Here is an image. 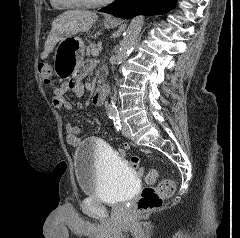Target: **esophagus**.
I'll use <instances>...</instances> for the list:
<instances>
[{
    "label": "esophagus",
    "mask_w": 240,
    "mask_h": 238,
    "mask_svg": "<svg viewBox=\"0 0 240 238\" xmlns=\"http://www.w3.org/2000/svg\"><path fill=\"white\" fill-rule=\"evenodd\" d=\"M108 19H116V18H114V17H108Z\"/></svg>",
    "instance_id": "1"
}]
</instances>
